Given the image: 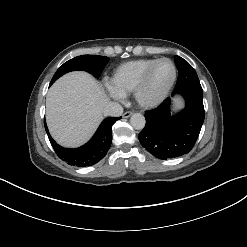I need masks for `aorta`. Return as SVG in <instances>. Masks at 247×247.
<instances>
[{
  "mask_svg": "<svg viewBox=\"0 0 247 247\" xmlns=\"http://www.w3.org/2000/svg\"><path fill=\"white\" fill-rule=\"evenodd\" d=\"M131 125L134 129L141 130L144 128L146 120L140 113H135L130 118Z\"/></svg>",
  "mask_w": 247,
  "mask_h": 247,
  "instance_id": "1",
  "label": "aorta"
}]
</instances>
